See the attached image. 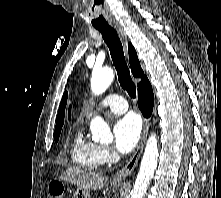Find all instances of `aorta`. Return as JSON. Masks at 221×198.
Masks as SVG:
<instances>
[{"instance_id":"obj_1","label":"aorta","mask_w":221,"mask_h":198,"mask_svg":"<svg viewBox=\"0 0 221 198\" xmlns=\"http://www.w3.org/2000/svg\"><path fill=\"white\" fill-rule=\"evenodd\" d=\"M114 73L111 68L95 69L91 77V90L95 95L102 94L112 83ZM90 131L93 139L100 141H108L113 138L108 124L101 118L95 117L90 123ZM158 145L155 133L149 136L147 141L140 169L137 174L131 198H143L157 167L158 161Z\"/></svg>"}]
</instances>
